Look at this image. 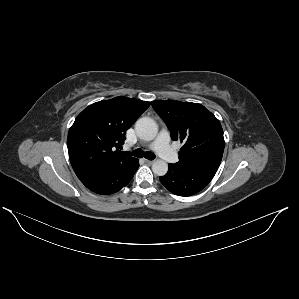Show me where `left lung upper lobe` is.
<instances>
[{"mask_svg": "<svg viewBox=\"0 0 299 299\" xmlns=\"http://www.w3.org/2000/svg\"><path fill=\"white\" fill-rule=\"evenodd\" d=\"M154 110L166 123L172 140H180L179 167L218 168L224 151L219 120L203 105L175 100L152 101Z\"/></svg>", "mask_w": 299, "mask_h": 299, "instance_id": "5c2ea615", "label": "left lung upper lobe"}]
</instances>
